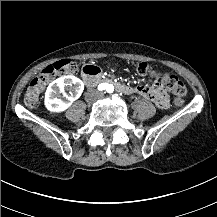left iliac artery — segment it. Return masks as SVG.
Masks as SVG:
<instances>
[{
  "instance_id": "1",
  "label": "left iliac artery",
  "mask_w": 217,
  "mask_h": 217,
  "mask_svg": "<svg viewBox=\"0 0 217 217\" xmlns=\"http://www.w3.org/2000/svg\"><path fill=\"white\" fill-rule=\"evenodd\" d=\"M107 92H109V93H110V92H112V91H109V90L107 89Z\"/></svg>"
}]
</instances>
